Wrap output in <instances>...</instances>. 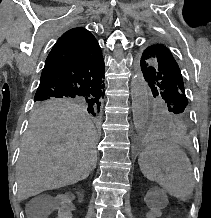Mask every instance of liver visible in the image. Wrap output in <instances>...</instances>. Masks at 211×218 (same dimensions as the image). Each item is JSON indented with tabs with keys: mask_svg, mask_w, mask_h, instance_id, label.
<instances>
[{
	"mask_svg": "<svg viewBox=\"0 0 211 218\" xmlns=\"http://www.w3.org/2000/svg\"><path fill=\"white\" fill-rule=\"evenodd\" d=\"M96 142L95 126L81 110H35L16 168L19 200L88 178L97 164Z\"/></svg>",
	"mask_w": 211,
	"mask_h": 218,
	"instance_id": "obj_1",
	"label": "liver"
}]
</instances>
